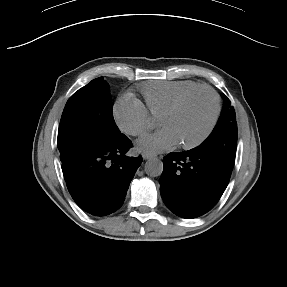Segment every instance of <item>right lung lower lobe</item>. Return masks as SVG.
<instances>
[{
	"instance_id": "1",
	"label": "right lung lower lobe",
	"mask_w": 287,
	"mask_h": 287,
	"mask_svg": "<svg viewBox=\"0 0 287 287\" xmlns=\"http://www.w3.org/2000/svg\"><path fill=\"white\" fill-rule=\"evenodd\" d=\"M130 140L122 134L111 143L75 154L62 162L67 188L83 210L96 216L115 212L125 199L142 157H128Z\"/></svg>"
}]
</instances>
